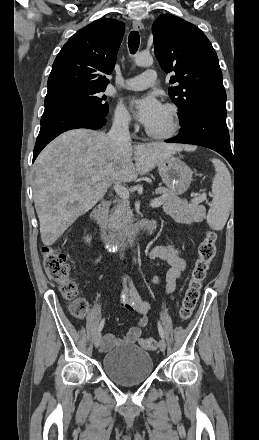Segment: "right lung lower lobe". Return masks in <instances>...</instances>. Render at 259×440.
Here are the masks:
<instances>
[{"mask_svg":"<svg viewBox=\"0 0 259 440\" xmlns=\"http://www.w3.org/2000/svg\"><path fill=\"white\" fill-rule=\"evenodd\" d=\"M105 124V116L84 109L63 108L44 111L33 151V162L42 149L61 133L77 128L100 129Z\"/></svg>","mask_w":259,"mask_h":440,"instance_id":"98d812e1","label":"right lung lower lobe"}]
</instances>
